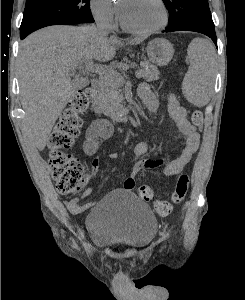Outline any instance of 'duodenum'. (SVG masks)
Returning <instances> with one entry per match:
<instances>
[{
    "instance_id": "410a0bca",
    "label": "duodenum",
    "mask_w": 245,
    "mask_h": 300,
    "mask_svg": "<svg viewBox=\"0 0 245 300\" xmlns=\"http://www.w3.org/2000/svg\"><path fill=\"white\" fill-rule=\"evenodd\" d=\"M92 87V111L96 115H100L103 112L102 103H101V93L103 90V83L100 79L94 78L91 81ZM122 120H125L124 118Z\"/></svg>"
}]
</instances>
